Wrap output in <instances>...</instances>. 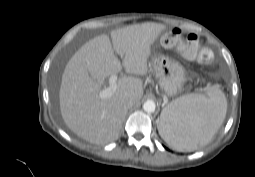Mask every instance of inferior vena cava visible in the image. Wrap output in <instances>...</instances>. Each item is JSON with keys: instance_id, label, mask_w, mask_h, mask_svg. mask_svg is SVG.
<instances>
[{"instance_id": "1", "label": "inferior vena cava", "mask_w": 255, "mask_h": 177, "mask_svg": "<svg viewBox=\"0 0 255 177\" xmlns=\"http://www.w3.org/2000/svg\"><path fill=\"white\" fill-rule=\"evenodd\" d=\"M135 105V100L133 98H128L124 102V106L129 109L132 108Z\"/></svg>"}]
</instances>
